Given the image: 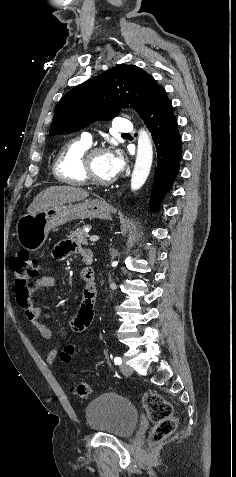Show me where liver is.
Returning <instances> with one entry per match:
<instances>
[{"label":"liver","instance_id":"1","mask_svg":"<svg viewBox=\"0 0 236 477\" xmlns=\"http://www.w3.org/2000/svg\"><path fill=\"white\" fill-rule=\"evenodd\" d=\"M89 196L86 190L73 186H51L40 192L27 209L28 214H36L49 208L84 200Z\"/></svg>","mask_w":236,"mask_h":477}]
</instances>
